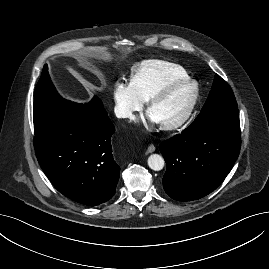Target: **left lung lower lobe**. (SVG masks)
<instances>
[{
  "mask_svg": "<svg viewBox=\"0 0 269 269\" xmlns=\"http://www.w3.org/2000/svg\"><path fill=\"white\" fill-rule=\"evenodd\" d=\"M241 146L237 108L198 115L160 145L167 164L163 188L173 199L193 201L215 190L230 172Z\"/></svg>",
  "mask_w": 269,
  "mask_h": 269,
  "instance_id": "1",
  "label": "left lung lower lobe"
}]
</instances>
